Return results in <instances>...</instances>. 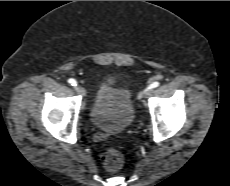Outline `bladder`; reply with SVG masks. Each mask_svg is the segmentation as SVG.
Returning <instances> with one entry per match:
<instances>
[{
    "instance_id": "31cf9c89",
    "label": "bladder",
    "mask_w": 230,
    "mask_h": 186,
    "mask_svg": "<svg viewBox=\"0 0 230 186\" xmlns=\"http://www.w3.org/2000/svg\"><path fill=\"white\" fill-rule=\"evenodd\" d=\"M134 117L129 95L120 92L109 81L102 82L90 111L91 124L104 132L119 133L132 125Z\"/></svg>"
}]
</instances>
